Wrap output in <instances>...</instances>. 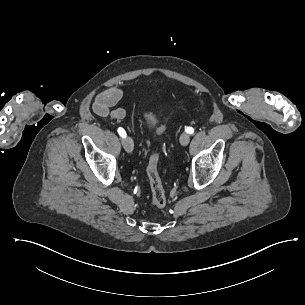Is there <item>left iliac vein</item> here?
Masks as SVG:
<instances>
[{
	"mask_svg": "<svg viewBox=\"0 0 305 305\" xmlns=\"http://www.w3.org/2000/svg\"><path fill=\"white\" fill-rule=\"evenodd\" d=\"M190 141V135L186 132L182 133L180 136V143L186 146Z\"/></svg>",
	"mask_w": 305,
	"mask_h": 305,
	"instance_id": "left-iliac-vein-1",
	"label": "left iliac vein"
}]
</instances>
